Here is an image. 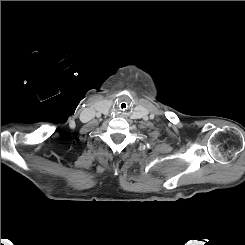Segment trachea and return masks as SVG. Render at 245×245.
Masks as SVG:
<instances>
[{"label": "trachea", "instance_id": "obj_1", "mask_svg": "<svg viewBox=\"0 0 245 245\" xmlns=\"http://www.w3.org/2000/svg\"><path fill=\"white\" fill-rule=\"evenodd\" d=\"M119 111L121 112H125L129 109L130 104L128 101H121L118 105H117Z\"/></svg>", "mask_w": 245, "mask_h": 245}]
</instances>
